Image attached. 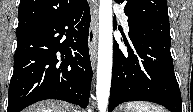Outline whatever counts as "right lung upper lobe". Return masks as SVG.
Returning a JSON list of instances; mask_svg holds the SVG:
<instances>
[{
	"label": "right lung upper lobe",
	"mask_w": 193,
	"mask_h": 112,
	"mask_svg": "<svg viewBox=\"0 0 193 112\" xmlns=\"http://www.w3.org/2000/svg\"><path fill=\"white\" fill-rule=\"evenodd\" d=\"M84 0H20L17 33L28 32L57 19Z\"/></svg>",
	"instance_id": "cb5924a9"
}]
</instances>
